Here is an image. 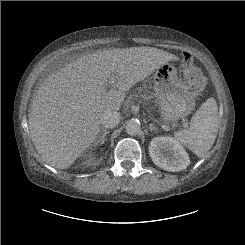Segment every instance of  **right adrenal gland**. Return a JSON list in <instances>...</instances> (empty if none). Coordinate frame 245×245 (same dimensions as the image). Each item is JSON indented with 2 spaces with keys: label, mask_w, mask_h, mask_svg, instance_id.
<instances>
[{
  "label": "right adrenal gland",
  "mask_w": 245,
  "mask_h": 245,
  "mask_svg": "<svg viewBox=\"0 0 245 245\" xmlns=\"http://www.w3.org/2000/svg\"><path fill=\"white\" fill-rule=\"evenodd\" d=\"M109 133L108 130H101L99 135H98V138L97 140L94 142V147H96L97 145H103L104 142H105V139H106V135Z\"/></svg>",
  "instance_id": "right-adrenal-gland-1"
}]
</instances>
